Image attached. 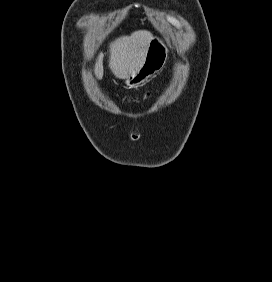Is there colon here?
<instances>
[{"label": "colon", "mask_w": 272, "mask_h": 282, "mask_svg": "<svg viewBox=\"0 0 272 282\" xmlns=\"http://www.w3.org/2000/svg\"><path fill=\"white\" fill-rule=\"evenodd\" d=\"M148 96H149L148 93H145L143 97L145 98V97H148Z\"/></svg>", "instance_id": "5ec220e1"}]
</instances>
